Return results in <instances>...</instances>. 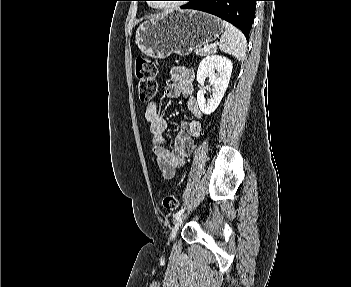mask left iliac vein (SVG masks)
Wrapping results in <instances>:
<instances>
[{
  "instance_id": "4c4485c4",
  "label": "left iliac vein",
  "mask_w": 351,
  "mask_h": 287,
  "mask_svg": "<svg viewBox=\"0 0 351 287\" xmlns=\"http://www.w3.org/2000/svg\"><path fill=\"white\" fill-rule=\"evenodd\" d=\"M185 218V214H182L175 222L172 231L170 233V239L173 240L176 237L177 231L179 227L181 226L183 219Z\"/></svg>"
}]
</instances>
